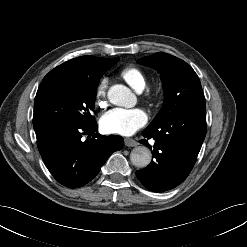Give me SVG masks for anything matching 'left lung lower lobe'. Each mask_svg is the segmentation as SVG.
I'll use <instances>...</instances> for the list:
<instances>
[{
    "instance_id": "left-lung-lower-lobe-1",
    "label": "left lung lower lobe",
    "mask_w": 247,
    "mask_h": 247,
    "mask_svg": "<svg viewBox=\"0 0 247 247\" xmlns=\"http://www.w3.org/2000/svg\"><path fill=\"white\" fill-rule=\"evenodd\" d=\"M205 112L175 115L154 128L144 129L139 142L153 149L151 163L136 171L149 190L163 192L181 184L191 172L206 136ZM147 139H153L151 146Z\"/></svg>"
}]
</instances>
